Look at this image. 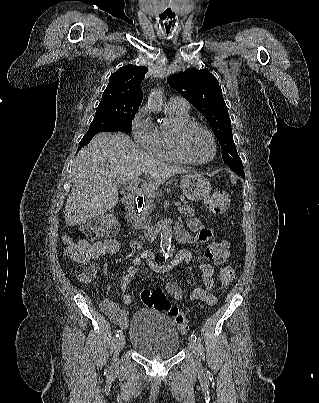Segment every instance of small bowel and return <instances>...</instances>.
Returning <instances> with one entry per match:
<instances>
[{
    "instance_id": "obj_1",
    "label": "small bowel",
    "mask_w": 319,
    "mask_h": 403,
    "mask_svg": "<svg viewBox=\"0 0 319 403\" xmlns=\"http://www.w3.org/2000/svg\"><path fill=\"white\" fill-rule=\"evenodd\" d=\"M188 225L192 233H189L180 227L176 231L177 239L182 243L192 245L204 244L216 238V241L210 243L205 250L204 258L206 262H203L199 265L202 273L203 286H193L190 296L192 300L202 301L210 306H213L217 303V297L213 292L215 272L214 266L221 265L227 260L230 248L224 239L216 237L212 230L203 227L197 219H189ZM102 256H105V254H97V257ZM143 259L148 260L150 268L155 272L165 273L172 267L181 263L191 265L192 254L187 250H183L177 254L170 264L166 265L156 262L153 255L147 251L143 252L140 257L134 258L132 260V264L128 268L127 273L121 279L119 298L121 302L125 304L132 302V297L129 291L130 283L134 275L137 273V268ZM106 268V265H104L103 270L106 271ZM163 286L175 300H182L183 293L177 283L164 282ZM100 308L118 327L121 329H127L129 324L128 312L118 303L110 300H104L101 302Z\"/></svg>"
}]
</instances>
